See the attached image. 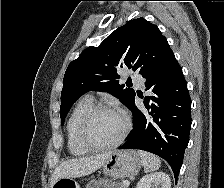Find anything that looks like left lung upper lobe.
Instances as JSON below:
<instances>
[{
    "label": "left lung upper lobe",
    "instance_id": "5c2ea615",
    "mask_svg": "<svg viewBox=\"0 0 224 188\" xmlns=\"http://www.w3.org/2000/svg\"><path fill=\"white\" fill-rule=\"evenodd\" d=\"M173 55L158 27L144 18L117 28L98 47L86 48L69 64L61 92V124L73 103L90 90L108 92L130 107L135 92L128 81L127 87L119 84L117 70L127 67L145 78Z\"/></svg>",
    "mask_w": 224,
    "mask_h": 188
}]
</instances>
